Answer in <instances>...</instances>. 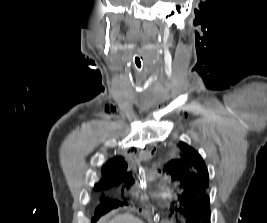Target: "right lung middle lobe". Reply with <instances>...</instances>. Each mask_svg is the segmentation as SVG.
<instances>
[{"label": "right lung middle lobe", "mask_w": 267, "mask_h": 223, "mask_svg": "<svg viewBox=\"0 0 267 223\" xmlns=\"http://www.w3.org/2000/svg\"><path fill=\"white\" fill-rule=\"evenodd\" d=\"M118 180L125 181L126 179L118 178V177L105 179V180L102 181L101 185L100 186H96V188L109 187L111 185H114ZM118 205H120V203L118 201L110 200L108 198H105V199L102 200L101 206H99L97 208L96 215L99 216L100 214H103V213L109 211L110 209H112L114 207H117Z\"/></svg>", "instance_id": "obj_1"}]
</instances>
